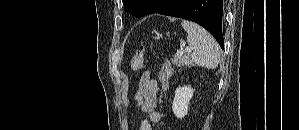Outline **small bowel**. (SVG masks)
<instances>
[{"mask_svg":"<svg viewBox=\"0 0 299 130\" xmlns=\"http://www.w3.org/2000/svg\"><path fill=\"white\" fill-rule=\"evenodd\" d=\"M158 92L157 81L151 78L149 71H145L135 94V102L138 110L148 117L139 122L138 130H152V124L161 121V113L157 111Z\"/></svg>","mask_w":299,"mask_h":130,"instance_id":"obj_1","label":"small bowel"}]
</instances>
